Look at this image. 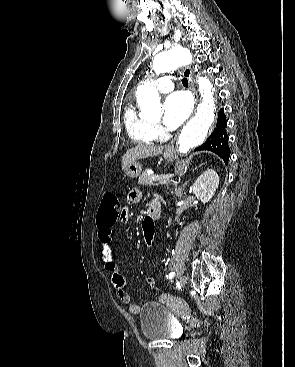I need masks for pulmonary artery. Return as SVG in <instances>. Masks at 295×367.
I'll return each instance as SVG.
<instances>
[{
    "instance_id": "1",
    "label": "pulmonary artery",
    "mask_w": 295,
    "mask_h": 367,
    "mask_svg": "<svg viewBox=\"0 0 295 367\" xmlns=\"http://www.w3.org/2000/svg\"><path fill=\"white\" fill-rule=\"evenodd\" d=\"M157 88L162 93H168L174 89L173 78L171 76H162L156 81Z\"/></svg>"
}]
</instances>
